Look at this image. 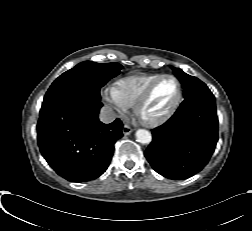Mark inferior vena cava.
Wrapping results in <instances>:
<instances>
[{"label":"inferior vena cava","mask_w":252,"mask_h":231,"mask_svg":"<svg viewBox=\"0 0 252 231\" xmlns=\"http://www.w3.org/2000/svg\"><path fill=\"white\" fill-rule=\"evenodd\" d=\"M99 118L103 123H111L116 119V113L110 106H103L100 110Z\"/></svg>","instance_id":"1"}]
</instances>
